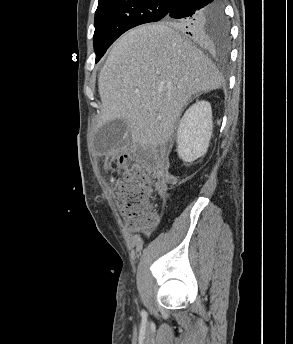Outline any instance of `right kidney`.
Here are the masks:
<instances>
[{"instance_id":"1","label":"right kidney","mask_w":293,"mask_h":344,"mask_svg":"<svg viewBox=\"0 0 293 344\" xmlns=\"http://www.w3.org/2000/svg\"><path fill=\"white\" fill-rule=\"evenodd\" d=\"M213 121L211 105L197 101L189 107L177 129V152L184 162H193L208 149Z\"/></svg>"}]
</instances>
